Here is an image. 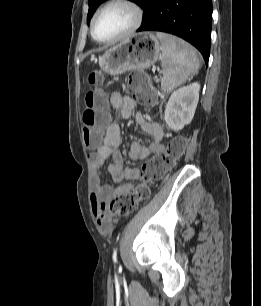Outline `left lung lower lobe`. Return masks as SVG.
<instances>
[{"mask_svg": "<svg viewBox=\"0 0 261 306\" xmlns=\"http://www.w3.org/2000/svg\"><path fill=\"white\" fill-rule=\"evenodd\" d=\"M140 31L176 35L195 46L208 64L212 26L211 0H149Z\"/></svg>", "mask_w": 261, "mask_h": 306, "instance_id": "0a47b994", "label": "left lung lower lobe"}]
</instances>
